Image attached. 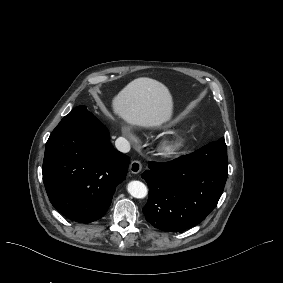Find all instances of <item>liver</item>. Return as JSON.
<instances>
[{"instance_id":"1","label":"liver","mask_w":283,"mask_h":283,"mask_svg":"<svg viewBox=\"0 0 283 283\" xmlns=\"http://www.w3.org/2000/svg\"><path fill=\"white\" fill-rule=\"evenodd\" d=\"M113 111L130 125L159 127L173 111L168 88L157 80L141 77L130 82L112 101Z\"/></svg>"}]
</instances>
